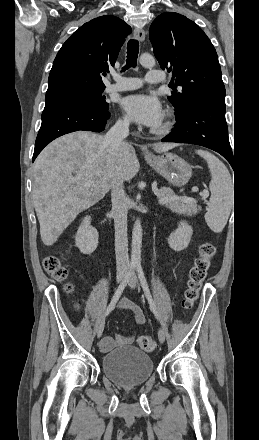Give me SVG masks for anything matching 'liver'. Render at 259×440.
I'll use <instances>...</instances> for the list:
<instances>
[{
    "mask_svg": "<svg viewBox=\"0 0 259 440\" xmlns=\"http://www.w3.org/2000/svg\"><path fill=\"white\" fill-rule=\"evenodd\" d=\"M175 146L157 143L153 149L163 153ZM139 167L132 145L117 157L97 133L77 131L51 142L33 166L32 198L42 242L53 245L80 212L103 199L115 174L130 181Z\"/></svg>",
    "mask_w": 259,
    "mask_h": 440,
    "instance_id": "liver-1",
    "label": "liver"
}]
</instances>
